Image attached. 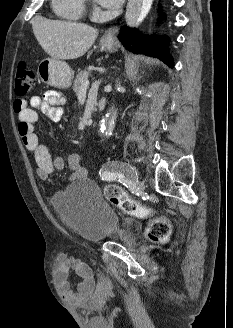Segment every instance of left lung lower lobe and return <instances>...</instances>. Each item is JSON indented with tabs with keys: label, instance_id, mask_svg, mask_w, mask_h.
Segmentation results:
<instances>
[{
	"label": "left lung lower lobe",
	"instance_id": "obj_1",
	"mask_svg": "<svg viewBox=\"0 0 233 328\" xmlns=\"http://www.w3.org/2000/svg\"><path fill=\"white\" fill-rule=\"evenodd\" d=\"M119 39L123 45L129 49V44H134L135 53H144L150 56L159 57L169 67H173V60L168 53L167 45L169 43L168 37L158 38L152 37L150 39L142 37L137 30L124 28L119 34Z\"/></svg>",
	"mask_w": 233,
	"mask_h": 328
}]
</instances>
